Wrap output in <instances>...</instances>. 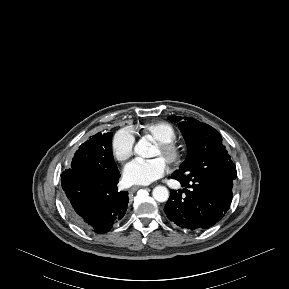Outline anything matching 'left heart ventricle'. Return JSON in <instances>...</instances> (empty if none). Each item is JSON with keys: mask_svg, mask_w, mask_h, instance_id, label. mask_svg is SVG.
Instances as JSON below:
<instances>
[{"mask_svg": "<svg viewBox=\"0 0 289 289\" xmlns=\"http://www.w3.org/2000/svg\"><path fill=\"white\" fill-rule=\"evenodd\" d=\"M149 157L158 158L162 160L165 163V165L167 164V157L163 153H161L155 146L153 147Z\"/></svg>", "mask_w": 289, "mask_h": 289, "instance_id": "obj_1", "label": "left heart ventricle"}]
</instances>
